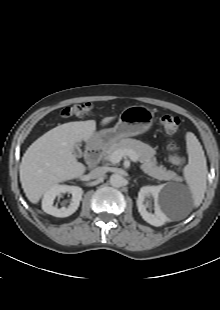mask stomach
<instances>
[{
	"label": "stomach",
	"mask_w": 220,
	"mask_h": 310,
	"mask_svg": "<svg viewBox=\"0 0 220 310\" xmlns=\"http://www.w3.org/2000/svg\"><path fill=\"white\" fill-rule=\"evenodd\" d=\"M154 115L145 106H129L125 108L116 125L112 128L103 129L92 138L93 144L108 146L123 138L145 133L153 123Z\"/></svg>",
	"instance_id": "stomach-1"
}]
</instances>
